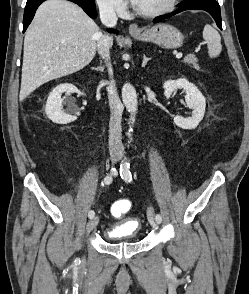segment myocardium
<instances>
[{
  "mask_svg": "<svg viewBox=\"0 0 249 294\" xmlns=\"http://www.w3.org/2000/svg\"><path fill=\"white\" fill-rule=\"evenodd\" d=\"M180 0H171V2L164 8L161 9H157V10H153V11H146V10H142L141 8H139L136 3L133 4V9L134 11L143 16V17H158V16H162L165 15L171 11H173L175 9V7L178 5Z\"/></svg>",
  "mask_w": 249,
  "mask_h": 294,
  "instance_id": "1",
  "label": "myocardium"
}]
</instances>
